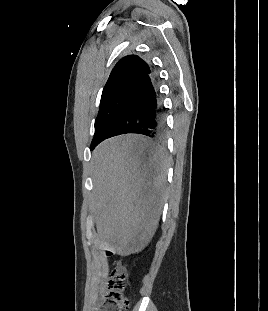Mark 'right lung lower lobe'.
Returning <instances> with one entry per match:
<instances>
[{
  "instance_id": "1",
  "label": "right lung lower lobe",
  "mask_w": 268,
  "mask_h": 311,
  "mask_svg": "<svg viewBox=\"0 0 268 311\" xmlns=\"http://www.w3.org/2000/svg\"><path fill=\"white\" fill-rule=\"evenodd\" d=\"M165 131L164 108L157 90V79L150 70L137 84L131 98L104 131L103 140L126 133L146 135L154 140L163 137Z\"/></svg>"
}]
</instances>
